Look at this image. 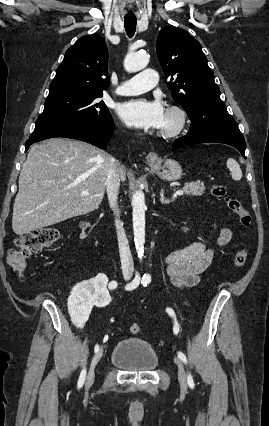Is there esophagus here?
<instances>
[{"label": "esophagus", "mask_w": 269, "mask_h": 426, "mask_svg": "<svg viewBox=\"0 0 269 426\" xmlns=\"http://www.w3.org/2000/svg\"><path fill=\"white\" fill-rule=\"evenodd\" d=\"M146 160L148 164L154 165L158 162V154L156 152H149Z\"/></svg>", "instance_id": "obj_1"}]
</instances>
